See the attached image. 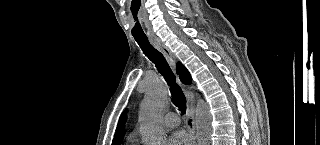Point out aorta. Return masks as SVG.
I'll return each mask as SVG.
<instances>
[{"label": "aorta", "instance_id": "aorta-1", "mask_svg": "<svg viewBox=\"0 0 320 145\" xmlns=\"http://www.w3.org/2000/svg\"><path fill=\"white\" fill-rule=\"evenodd\" d=\"M168 102L165 85L160 81L151 84L140 109V132L145 145H163L166 134L160 125ZM196 136L199 145L210 144L211 116L208 106L199 101L196 107Z\"/></svg>", "mask_w": 320, "mask_h": 145}]
</instances>
